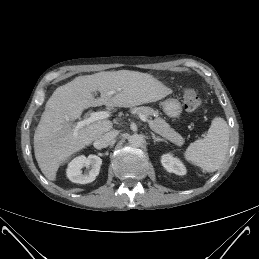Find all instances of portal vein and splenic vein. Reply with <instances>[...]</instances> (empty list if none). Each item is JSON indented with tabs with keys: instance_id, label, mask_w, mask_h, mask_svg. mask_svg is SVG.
I'll list each match as a JSON object with an SVG mask.
<instances>
[{
	"instance_id": "18ae733b",
	"label": "portal vein and splenic vein",
	"mask_w": 259,
	"mask_h": 259,
	"mask_svg": "<svg viewBox=\"0 0 259 259\" xmlns=\"http://www.w3.org/2000/svg\"><path fill=\"white\" fill-rule=\"evenodd\" d=\"M113 93H114L113 91H110L107 93V95H112ZM109 116H110V112L108 111L92 112L90 117L78 122L71 123V125L74 127V135H76L77 131L83 128L84 126L89 125L95 121L108 118ZM138 116L143 122L148 121L147 117L144 114L138 113Z\"/></svg>"
}]
</instances>
